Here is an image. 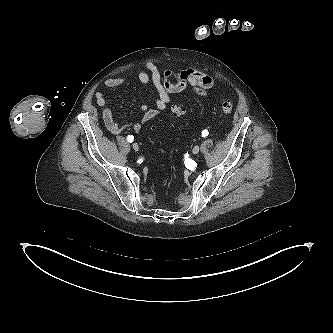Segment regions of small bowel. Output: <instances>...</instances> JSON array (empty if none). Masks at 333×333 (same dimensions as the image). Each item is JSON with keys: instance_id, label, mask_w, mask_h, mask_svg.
Here are the masks:
<instances>
[{"instance_id": "small-bowel-1", "label": "small bowel", "mask_w": 333, "mask_h": 333, "mask_svg": "<svg viewBox=\"0 0 333 333\" xmlns=\"http://www.w3.org/2000/svg\"><path fill=\"white\" fill-rule=\"evenodd\" d=\"M137 78L142 84H152L155 90V103L157 109H151L148 104L144 103L140 109L144 113L140 122L121 126L115 120L112 110L107 106V97L104 92L95 93L96 103L103 108L102 117L107 130L113 135L121 134L126 128H132L138 132L143 125L156 117L161 110H165L171 102V95L180 92L187 87H191L193 92L199 97H206L209 90L213 88L214 78L196 69H186L175 73L167 70L161 72L158 67L152 63H145L137 71ZM127 81L126 77H114L105 81L107 88L113 89L122 86Z\"/></svg>"}]
</instances>
